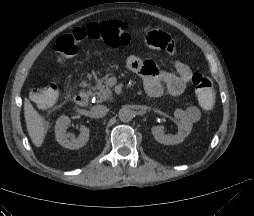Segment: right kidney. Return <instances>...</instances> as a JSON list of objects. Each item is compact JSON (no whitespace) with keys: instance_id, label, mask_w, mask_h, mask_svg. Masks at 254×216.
Wrapping results in <instances>:
<instances>
[{"instance_id":"1","label":"right kidney","mask_w":254,"mask_h":216,"mask_svg":"<svg viewBox=\"0 0 254 216\" xmlns=\"http://www.w3.org/2000/svg\"><path fill=\"white\" fill-rule=\"evenodd\" d=\"M70 118L67 116H61L57 119L55 124V134L57 142L68 149H79L83 147L89 140V128L81 125L80 134L78 137H72L69 139V135L66 134V128L70 125Z\"/></svg>"}]
</instances>
